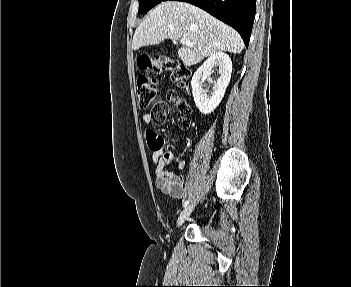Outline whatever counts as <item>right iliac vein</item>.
Here are the masks:
<instances>
[{
    "label": "right iliac vein",
    "instance_id": "63e3f726",
    "mask_svg": "<svg viewBox=\"0 0 351 287\" xmlns=\"http://www.w3.org/2000/svg\"><path fill=\"white\" fill-rule=\"evenodd\" d=\"M193 209H194V204L188 205L183 209V211L180 213L177 220V228L181 227L182 224L185 222V220L188 219Z\"/></svg>",
    "mask_w": 351,
    "mask_h": 287
}]
</instances>
